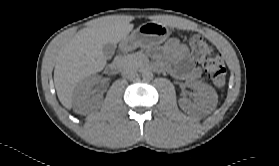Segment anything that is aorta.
<instances>
[{"instance_id": "762f6f07", "label": "aorta", "mask_w": 279, "mask_h": 166, "mask_svg": "<svg viewBox=\"0 0 279 166\" xmlns=\"http://www.w3.org/2000/svg\"><path fill=\"white\" fill-rule=\"evenodd\" d=\"M142 78H143V80H146V81L152 80V79H153V73H152V71H150V70H144V71L142 72Z\"/></svg>"}]
</instances>
